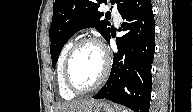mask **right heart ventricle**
Instances as JSON below:
<instances>
[{"instance_id":"obj_1","label":"right heart ventricle","mask_w":193,"mask_h":112,"mask_svg":"<svg viewBox=\"0 0 193 112\" xmlns=\"http://www.w3.org/2000/svg\"><path fill=\"white\" fill-rule=\"evenodd\" d=\"M74 44V39L71 38L65 42L63 47L60 50L58 60H57V85H58V91L62 98L66 100H70L75 97V94L68 90L64 77H63V65L66 58V55L71 48V46Z\"/></svg>"}]
</instances>
